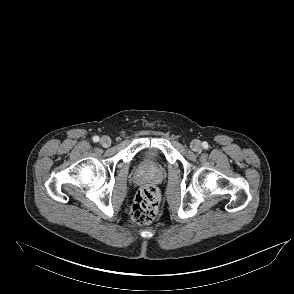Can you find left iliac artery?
<instances>
[{
	"label": "left iliac artery",
	"mask_w": 294,
	"mask_h": 294,
	"mask_svg": "<svg viewBox=\"0 0 294 294\" xmlns=\"http://www.w3.org/2000/svg\"><path fill=\"white\" fill-rule=\"evenodd\" d=\"M202 145H203V147H204V148H207V147H208V144H207V142H203V144H202Z\"/></svg>",
	"instance_id": "obj_1"
}]
</instances>
